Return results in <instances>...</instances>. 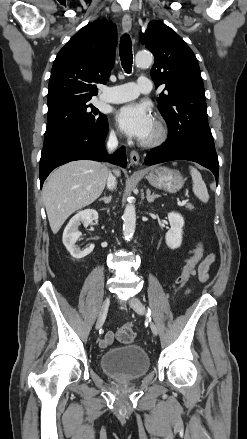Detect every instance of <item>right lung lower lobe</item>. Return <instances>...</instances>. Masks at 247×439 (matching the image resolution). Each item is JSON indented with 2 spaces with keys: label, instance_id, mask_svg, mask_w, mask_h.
Masks as SVG:
<instances>
[{
  "label": "right lung lower lobe",
  "instance_id": "98d812e1",
  "mask_svg": "<svg viewBox=\"0 0 247 439\" xmlns=\"http://www.w3.org/2000/svg\"><path fill=\"white\" fill-rule=\"evenodd\" d=\"M108 131V122L95 130L76 131L45 140L40 159V185L56 167L67 162L81 159L109 161L126 167L125 148L113 155L105 150L104 140Z\"/></svg>",
  "mask_w": 247,
  "mask_h": 439
}]
</instances>
